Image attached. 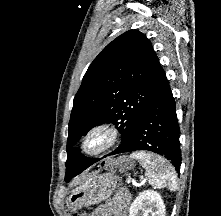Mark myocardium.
<instances>
[{"instance_id":"f54148a6","label":"myocardium","mask_w":221,"mask_h":216,"mask_svg":"<svg viewBox=\"0 0 221 216\" xmlns=\"http://www.w3.org/2000/svg\"><path fill=\"white\" fill-rule=\"evenodd\" d=\"M98 139L99 143L93 149L89 144ZM120 139L119 129L109 123H100L93 126L81 140V150L87 156H98L112 149Z\"/></svg>"}]
</instances>
